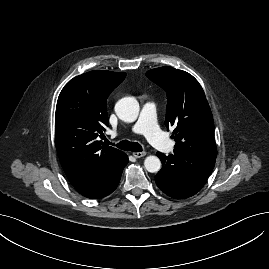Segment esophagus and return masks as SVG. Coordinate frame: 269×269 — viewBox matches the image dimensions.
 <instances>
[{"mask_svg": "<svg viewBox=\"0 0 269 269\" xmlns=\"http://www.w3.org/2000/svg\"><path fill=\"white\" fill-rule=\"evenodd\" d=\"M146 155V152H134L133 153V156L135 157V158H141V157H143V156H145Z\"/></svg>", "mask_w": 269, "mask_h": 269, "instance_id": "obj_1", "label": "esophagus"}]
</instances>
